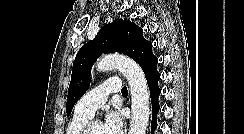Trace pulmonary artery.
I'll list each match as a JSON object with an SVG mask.
<instances>
[{
    "label": "pulmonary artery",
    "instance_id": "pulmonary-artery-1",
    "mask_svg": "<svg viewBox=\"0 0 244 134\" xmlns=\"http://www.w3.org/2000/svg\"><path fill=\"white\" fill-rule=\"evenodd\" d=\"M121 89V81L118 78H110L87 92L77 102L75 112L92 117L95 111L105 103L111 93H118Z\"/></svg>",
    "mask_w": 244,
    "mask_h": 134
}]
</instances>
